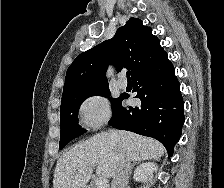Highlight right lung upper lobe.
Listing matches in <instances>:
<instances>
[{"label":"right lung upper lobe","instance_id":"right-lung-upper-lobe-1","mask_svg":"<svg viewBox=\"0 0 224 188\" xmlns=\"http://www.w3.org/2000/svg\"><path fill=\"white\" fill-rule=\"evenodd\" d=\"M166 52L150 27L131 17L112 40H106L81 53L67 70L63 94L108 85L106 71L110 63L131 70L132 78L156 64Z\"/></svg>","mask_w":224,"mask_h":188}]
</instances>
